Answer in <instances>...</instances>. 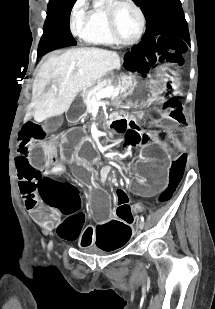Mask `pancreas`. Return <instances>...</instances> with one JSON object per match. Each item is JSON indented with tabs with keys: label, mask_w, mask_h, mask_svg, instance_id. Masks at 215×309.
<instances>
[{
	"label": "pancreas",
	"mask_w": 215,
	"mask_h": 309,
	"mask_svg": "<svg viewBox=\"0 0 215 309\" xmlns=\"http://www.w3.org/2000/svg\"><path fill=\"white\" fill-rule=\"evenodd\" d=\"M107 86H114V88H118L119 92H121V90H126L128 86H132V82L131 80H128V78H123V76H121V80H113V78H103V80H97V84H95V86H90V88H87V90L81 94L85 100L87 112H92V98H95V100H100L97 96V92L102 90V88H107ZM122 100V96H111V104H113V106H118V104H121Z\"/></svg>",
	"instance_id": "pancreas-1"
}]
</instances>
